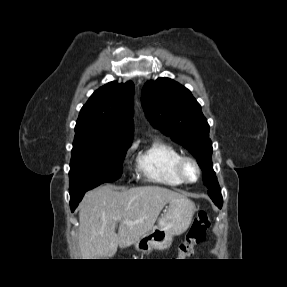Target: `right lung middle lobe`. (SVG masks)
<instances>
[{
	"label": "right lung middle lobe",
	"instance_id": "right-lung-middle-lobe-1",
	"mask_svg": "<svg viewBox=\"0 0 287 287\" xmlns=\"http://www.w3.org/2000/svg\"><path fill=\"white\" fill-rule=\"evenodd\" d=\"M130 145L131 140L103 139L88 132L76 133L69 171L70 195L120 178L123 159Z\"/></svg>",
	"mask_w": 287,
	"mask_h": 287
}]
</instances>
